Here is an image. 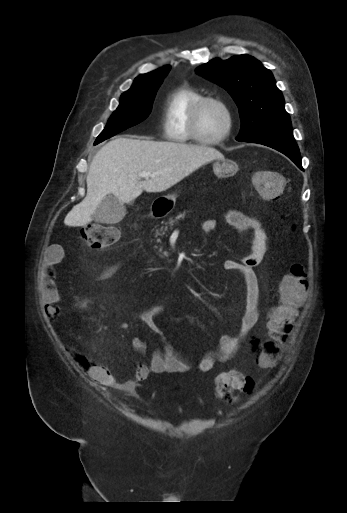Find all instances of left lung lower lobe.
<instances>
[{
  "label": "left lung lower lobe",
  "instance_id": "1",
  "mask_svg": "<svg viewBox=\"0 0 347 513\" xmlns=\"http://www.w3.org/2000/svg\"><path fill=\"white\" fill-rule=\"evenodd\" d=\"M245 142L258 143L276 149L289 157L303 170L299 148L295 142L291 128L269 131Z\"/></svg>",
  "mask_w": 347,
  "mask_h": 513
}]
</instances>
